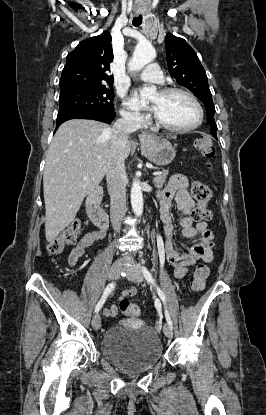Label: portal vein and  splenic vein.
<instances>
[{"instance_id": "1", "label": "portal vein and splenic vein", "mask_w": 266, "mask_h": 415, "mask_svg": "<svg viewBox=\"0 0 266 415\" xmlns=\"http://www.w3.org/2000/svg\"><path fill=\"white\" fill-rule=\"evenodd\" d=\"M159 174H161V172H154L153 173L154 176L159 175ZM88 179H89L88 177H84V180H88Z\"/></svg>"}]
</instances>
